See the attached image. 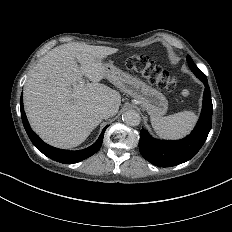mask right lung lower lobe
Returning <instances> with one entry per match:
<instances>
[{
  "label": "right lung lower lobe",
  "mask_w": 232,
  "mask_h": 232,
  "mask_svg": "<svg viewBox=\"0 0 232 232\" xmlns=\"http://www.w3.org/2000/svg\"><path fill=\"white\" fill-rule=\"evenodd\" d=\"M20 109H21V117L23 121L24 128L32 141V143L37 147L39 151H41L44 155L49 157L52 160H55L60 163L64 164H72L80 162L90 156H92L94 153H96L103 142L104 132L107 128V126L102 130V133L100 134L98 140L90 147L78 150V151H68V150H62L58 148H54L46 143H44L35 132L32 131L29 122L26 118V114L24 112L23 108V100L22 95L20 99Z\"/></svg>",
  "instance_id": "right-lung-lower-lobe-1"
}]
</instances>
